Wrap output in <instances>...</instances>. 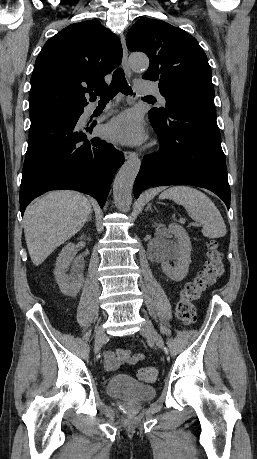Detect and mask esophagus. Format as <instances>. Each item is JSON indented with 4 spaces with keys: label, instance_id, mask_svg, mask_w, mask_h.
<instances>
[{
    "label": "esophagus",
    "instance_id": "34e87169",
    "mask_svg": "<svg viewBox=\"0 0 257 459\" xmlns=\"http://www.w3.org/2000/svg\"><path fill=\"white\" fill-rule=\"evenodd\" d=\"M120 40L122 44V49H123V57H122V66L125 70V73L127 74L128 77L131 76V70L128 65V51L126 47V41H125V36L124 34L120 35ZM137 154L133 151H124V157L125 159H133L136 158Z\"/></svg>",
    "mask_w": 257,
    "mask_h": 459
}]
</instances>
